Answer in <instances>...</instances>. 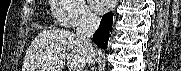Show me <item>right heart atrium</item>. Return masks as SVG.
I'll return each instance as SVG.
<instances>
[{"label": "right heart atrium", "mask_w": 181, "mask_h": 71, "mask_svg": "<svg viewBox=\"0 0 181 71\" xmlns=\"http://www.w3.org/2000/svg\"><path fill=\"white\" fill-rule=\"evenodd\" d=\"M59 22L66 27L90 25L96 16L84 0H58Z\"/></svg>", "instance_id": "d8ad5b80"}]
</instances>
